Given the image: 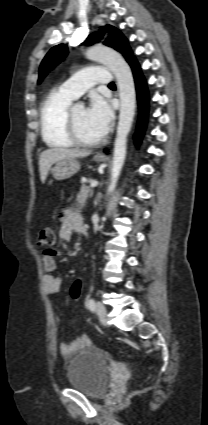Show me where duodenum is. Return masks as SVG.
Returning <instances> with one entry per match:
<instances>
[{"mask_svg":"<svg viewBox=\"0 0 208 425\" xmlns=\"http://www.w3.org/2000/svg\"><path fill=\"white\" fill-rule=\"evenodd\" d=\"M80 232H81L83 235H86V234H87V228H86V226H84V224L81 226V228H80Z\"/></svg>","mask_w":208,"mask_h":425,"instance_id":"obj_1","label":"duodenum"}]
</instances>
